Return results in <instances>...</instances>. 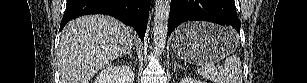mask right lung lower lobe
I'll return each mask as SVG.
<instances>
[{"mask_svg":"<svg viewBox=\"0 0 307 83\" xmlns=\"http://www.w3.org/2000/svg\"><path fill=\"white\" fill-rule=\"evenodd\" d=\"M151 0H67L60 31L66 23L85 14H106L132 26L143 40Z\"/></svg>","mask_w":307,"mask_h":83,"instance_id":"98d812e1","label":"right lung lower lobe"}]
</instances>
